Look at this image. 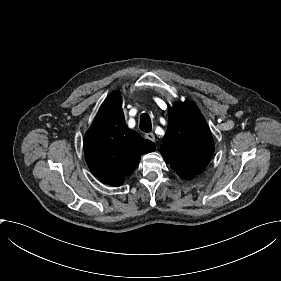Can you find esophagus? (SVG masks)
Here are the masks:
<instances>
[{
  "instance_id": "esophagus-1",
  "label": "esophagus",
  "mask_w": 281,
  "mask_h": 281,
  "mask_svg": "<svg viewBox=\"0 0 281 281\" xmlns=\"http://www.w3.org/2000/svg\"><path fill=\"white\" fill-rule=\"evenodd\" d=\"M144 136H145V138L155 142L156 138H155V135L153 133H146Z\"/></svg>"
}]
</instances>
